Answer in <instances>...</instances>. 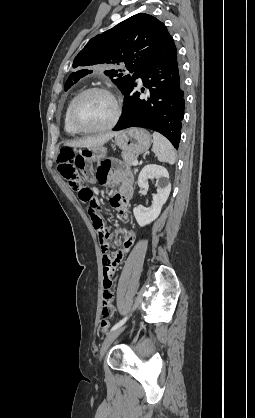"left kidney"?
<instances>
[{"label": "left kidney", "mask_w": 255, "mask_h": 418, "mask_svg": "<svg viewBox=\"0 0 255 418\" xmlns=\"http://www.w3.org/2000/svg\"><path fill=\"white\" fill-rule=\"evenodd\" d=\"M148 179H156L158 182L157 192L153 195V204L147 210L135 207L133 213L137 223L143 227L153 222L161 213L162 206L167 201L171 184L169 182V173L167 169L160 165H146L140 172L138 177V186L147 188Z\"/></svg>", "instance_id": "obj_1"}]
</instances>
